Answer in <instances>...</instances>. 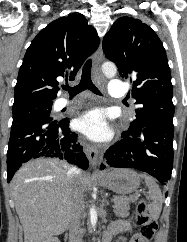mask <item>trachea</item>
Wrapping results in <instances>:
<instances>
[{"label":"trachea","instance_id":"1","mask_svg":"<svg viewBox=\"0 0 187 242\" xmlns=\"http://www.w3.org/2000/svg\"><path fill=\"white\" fill-rule=\"evenodd\" d=\"M91 67H92V60L89 59L84 64L82 70L81 81L78 85L74 87H70L68 84L62 86V88L70 93L71 97L76 96L80 92L88 89L92 91L94 94L102 95L101 92L95 87L91 80Z\"/></svg>","mask_w":187,"mask_h":242}]
</instances>
